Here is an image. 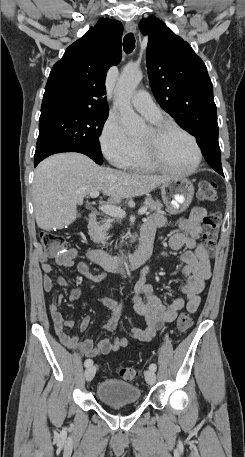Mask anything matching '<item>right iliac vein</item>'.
<instances>
[{
  "instance_id": "1",
  "label": "right iliac vein",
  "mask_w": 245,
  "mask_h": 457,
  "mask_svg": "<svg viewBox=\"0 0 245 457\" xmlns=\"http://www.w3.org/2000/svg\"><path fill=\"white\" fill-rule=\"evenodd\" d=\"M95 373H96L95 365H91V366L87 367L85 370L86 381L90 382L94 378Z\"/></svg>"
}]
</instances>
